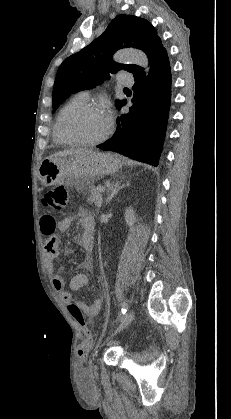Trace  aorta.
<instances>
[{
	"instance_id": "aorta-1",
	"label": "aorta",
	"mask_w": 231,
	"mask_h": 419,
	"mask_svg": "<svg viewBox=\"0 0 231 419\" xmlns=\"http://www.w3.org/2000/svg\"><path fill=\"white\" fill-rule=\"evenodd\" d=\"M118 63H132L144 68L145 73L149 72V61L146 54L140 50L124 49L115 53L113 57Z\"/></svg>"
}]
</instances>
